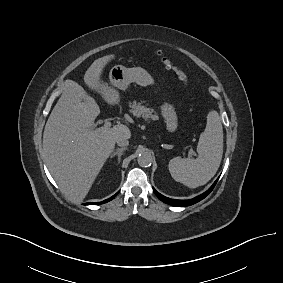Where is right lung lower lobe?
Listing matches in <instances>:
<instances>
[{"label":"right lung lower lobe","instance_id":"98d812e1","mask_svg":"<svg viewBox=\"0 0 283 283\" xmlns=\"http://www.w3.org/2000/svg\"><path fill=\"white\" fill-rule=\"evenodd\" d=\"M117 195V193L115 195H113L112 197H110L109 199H106L102 202H95V203H86V205H97V204H103V203H106L108 201H111L115 196Z\"/></svg>","mask_w":283,"mask_h":283}]
</instances>
